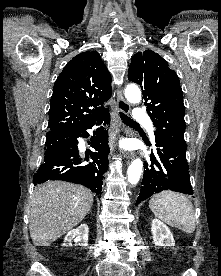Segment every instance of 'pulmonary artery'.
<instances>
[{
	"label": "pulmonary artery",
	"mask_w": 221,
	"mask_h": 276,
	"mask_svg": "<svg viewBox=\"0 0 221 276\" xmlns=\"http://www.w3.org/2000/svg\"><path fill=\"white\" fill-rule=\"evenodd\" d=\"M133 116L136 121H139V122H147L148 121V116H147L146 112L141 108H136L134 110ZM148 129H149L150 135L152 137H154L152 125L150 123L148 124Z\"/></svg>",
	"instance_id": "e3ab8cb5"
}]
</instances>
